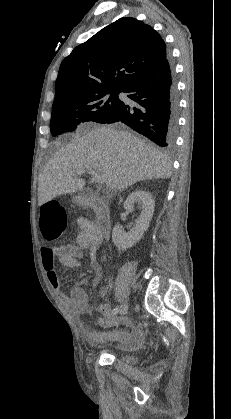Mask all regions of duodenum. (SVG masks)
Instances as JSON below:
<instances>
[{
  "instance_id": "duodenum-1",
  "label": "duodenum",
  "mask_w": 231,
  "mask_h": 419,
  "mask_svg": "<svg viewBox=\"0 0 231 419\" xmlns=\"http://www.w3.org/2000/svg\"><path fill=\"white\" fill-rule=\"evenodd\" d=\"M79 201L82 206H90L93 208L95 212L96 226L100 232V235L102 238L107 237L111 229V218L110 210L106 202L101 198L91 194L87 196H81Z\"/></svg>"
}]
</instances>
